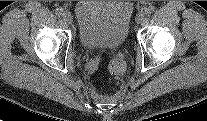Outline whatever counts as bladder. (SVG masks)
<instances>
[{"mask_svg":"<svg viewBox=\"0 0 207 121\" xmlns=\"http://www.w3.org/2000/svg\"><path fill=\"white\" fill-rule=\"evenodd\" d=\"M130 1H79L75 7L80 44L88 50L116 49L126 40Z\"/></svg>","mask_w":207,"mask_h":121,"instance_id":"obj_1","label":"bladder"}]
</instances>
